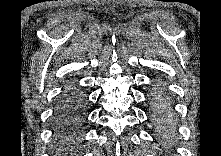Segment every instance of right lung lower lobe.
Listing matches in <instances>:
<instances>
[{
  "label": "right lung lower lobe",
  "instance_id": "right-lung-lower-lobe-1",
  "mask_svg": "<svg viewBox=\"0 0 221 156\" xmlns=\"http://www.w3.org/2000/svg\"><path fill=\"white\" fill-rule=\"evenodd\" d=\"M86 107V99L81 89H67L57 102L54 114L55 127L64 133L78 130L83 124Z\"/></svg>",
  "mask_w": 221,
  "mask_h": 156
}]
</instances>
